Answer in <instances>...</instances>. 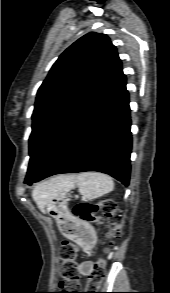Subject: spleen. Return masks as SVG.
<instances>
[{
	"mask_svg": "<svg viewBox=\"0 0 170 293\" xmlns=\"http://www.w3.org/2000/svg\"><path fill=\"white\" fill-rule=\"evenodd\" d=\"M79 193L88 200L101 197L114 188L111 177L99 172H83L76 176Z\"/></svg>",
	"mask_w": 170,
	"mask_h": 293,
	"instance_id": "1",
	"label": "spleen"
}]
</instances>
